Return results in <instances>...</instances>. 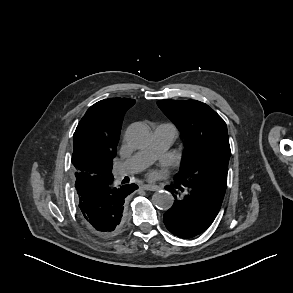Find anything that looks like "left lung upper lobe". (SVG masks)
Segmentation results:
<instances>
[{
    "instance_id": "1",
    "label": "left lung upper lobe",
    "mask_w": 293,
    "mask_h": 293,
    "mask_svg": "<svg viewBox=\"0 0 293 293\" xmlns=\"http://www.w3.org/2000/svg\"><path fill=\"white\" fill-rule=\"evenodd\" d=\"M158 106L177 126L187 147L177 182H196L225 194L230 145L224 120L196 100H161Z\"/></svg>"
}]
</instances>
